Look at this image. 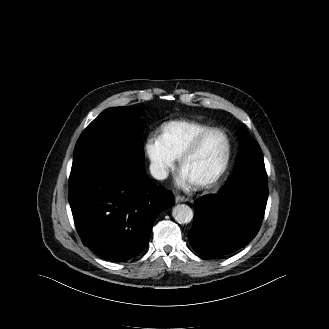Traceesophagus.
Here are the masks:
<instances>
[{
	"instance_id": "34e87169",
	"label": "esophagus",
	"mask_w": 329,
	"mask_h": 329,
	"mask_svg": "<svg viewBox=\"0 0 329 329\" xmlns=\"http://www.w3.org/2000/svg\"><path fill=\"white\" fill-rule=\"evenodd\" d=\"M188 201V198L184 197V196H176L175 197V202L179 203V202H186Z\"/></svg>"
}]
</instances>
